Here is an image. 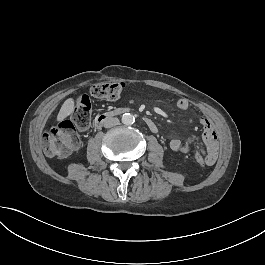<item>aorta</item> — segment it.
I'll return each instance as SVG.
<instances>
[{"mask_svg":"<svg viewBox=\"0 0 265 265\" xmlns=\"http://www.w3.org/2000/svg\"><path fill=\"white\" fill-rule=\"evenodd\" d=\"M135 122V117L131 113H124L122 115V123L125 125H132Z\"/></svg>","mask_w":265,"mask_h":265,"instance_id":"1","label":"aorta"}]
</instances>
